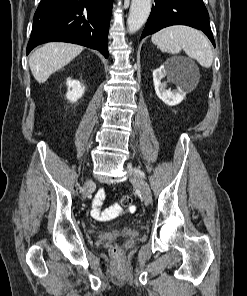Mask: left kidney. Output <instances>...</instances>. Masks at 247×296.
I'll return each mask as SVG.
<instances>
[{"label": "left kidney", "mask_w": 247, "mask_h": 296, "mask_svg": "<svg viewBox=\"0 0 247 296\" xmlns=\"http://www.w3.org/2000/svg\"><path fill=\"white\" fill-rule=\"evenodd\" d=\"M165 76L177 85V90L166 89V84L162 82ZM153 82L159 99L169 106H175L196 86L197 76L181 59L174 58L153 71Z\"/></svg>", "instance_id": "obj_1"}]
</instances>
